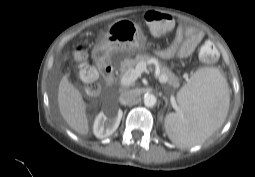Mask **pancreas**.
<instances>
[{
	"instance_id": "pancreas-1",
	"label": "pancreas",
	"mask_w": 255,
	"mask_h": 177,
	"mask_svg": "<svg viewBox=\"0 0 255 177\" xmlns=\"http://www.w3.org/2000/svg\"><path fill=\"white\" fill-rule=\"evenodd\" d=\"M152 59L151 56L148 54H138L135 58H126L120 63V76L122 77L125 73H127L129 70L136 67V65L139 62H145L146 64ZM157 66L159 67V76L165 77L166 81L162 83H168L169 85L173 87L179 86V80L178 77L174 73H172L167 67L163 66L161 63L157 61Z\"/></svg>"
}]
</instances>
